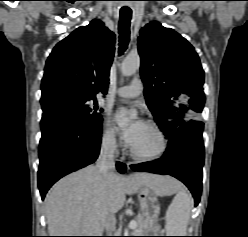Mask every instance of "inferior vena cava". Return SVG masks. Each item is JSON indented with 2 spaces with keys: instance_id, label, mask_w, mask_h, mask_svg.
I'll list each match as a JSON object with an SVG mask.
<instances>
[{
  "instance_id": "602c4592",
  "label": "inferior vena cava",
  "mask_w": 248,
  "mask_h": 237,
  "mask_svg": "<svg viewBox=\"0 0 248 237\" xmlns=\"http://www.w3.org/2000/svg\"><path fill=\"white\" fill-rule=\"evenodd\" d=\"M116 143L113 137L104 138L101 145L100 155L96 166L99 171L106 177L110 172L115 170L114 151ZM106 231L111 233L115 228L114 214L110 215L105 224Z\"/></svg>"
}]
</instances>
